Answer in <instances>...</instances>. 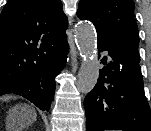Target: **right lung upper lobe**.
<instances>
[{
	"instance_id": "cb5924a9",
	"label": "right lung upper lobe",
	"mask_w": 151,
	"mask_h": 131,
	"mask_svg": "<svg viewBox=\"0 0 151 131\" xmlns=\"http://www.w3.org/2000/svg\"><path fill=\"white\" fill-rule=\"evenodd\" d=\"M67 26L60 0H8L0 16V93L41 69Z\"/></svg>"
}]
</instances>
